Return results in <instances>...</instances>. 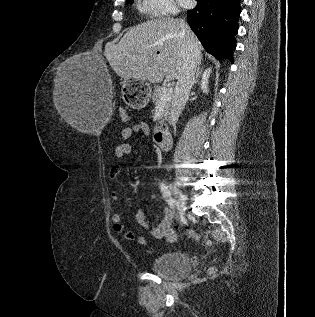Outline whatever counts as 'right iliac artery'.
Wrapping results in <instances>:
<instances>
[{
	"instance_id": "right-iliac-artery-1",
	"label": "right iliac artery",
	"mask_w": 315,
	"mask_h": 317,
	"mask_svg": "<svg viewBox=\"0 0 315 317\" xmlns=\"http://www.w3.org/2000/svg\"><path fill=\"white\" fill-rule=\"evenodd\" d=\"M160 189H161V192L163 194L165 201L174 210L175 209V199L171 196V193H170L168 187L165 184L161 183Z\"/></svg>"
}]
</instances>
